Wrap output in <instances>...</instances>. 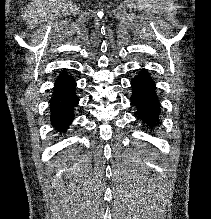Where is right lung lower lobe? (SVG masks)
Segmentation results:
<instances>
[{
	"instance_id": "obj_1",
	"label": "right lung lower lobe",
	"mask_w": 211,
	"mask_h": 219,
	"mask_svg": "<svg viewBox=\"0 0 211 219\" xmlns=\"http://www.w3.org/2000/svg\"><path fill=\"white\" fill-rule=\"evenodd\" d=\"M76 83L72 76L63 72L55 81L50 101L51 124L56 131L65 132L74 119V107L78 104Z\"/></svg>"
}]
</instances>
